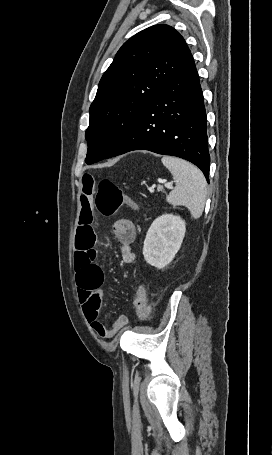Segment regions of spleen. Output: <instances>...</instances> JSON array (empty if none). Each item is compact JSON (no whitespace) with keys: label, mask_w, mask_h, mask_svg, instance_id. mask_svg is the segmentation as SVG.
Returning <instances> with one entry per match:
<instances>
[{"label":"spleen","mask_w":272,"mask_h":455,"mask_svg":"<svg viewBox=\"0 0 272 455\" xmlns=\"http://www.w3.org/2000/svg\"><path fill=\"white\" fill-rule=\"evenodd\" d=\"M161 161L176 182L166 198L167 202L173 206H186L193 218H199L204 211L207 195L203 173L191 163L176 157L164 156Z\"/></svg>","instance_id":"3e777b00"}]
</instances>
